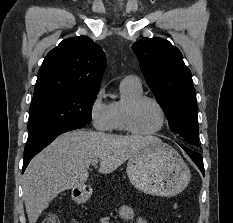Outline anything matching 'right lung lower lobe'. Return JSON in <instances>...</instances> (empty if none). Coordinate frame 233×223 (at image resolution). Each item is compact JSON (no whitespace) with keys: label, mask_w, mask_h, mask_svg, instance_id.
<instances>
[{"label":"right lung lower lobe","mask_w":233,"mask_h":223,"mask_svg":"<svg viewBox=\"0 0 233 223\" xmlns=\"http://www.w3.org/2000/svg\"><path fill=\"white\" fill-rule=\"evenodd\" d=\"M82 128V126H78V125H73V126H68L64 129H62L57 135H55L54 137H52L51 139H49L42 147H40L39 149H37L36 151H34L33 153L26 155L25 156V161L23 164V171L22 173L25 171L27 165L29 164L30 160L37 154L39 153L43 148H45L46 146H48L57 136H59L62 133L71 131V130H75V129H79Z\"/></svg>","instance_id":"98d812e1"}]
</instances>
